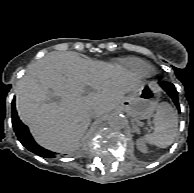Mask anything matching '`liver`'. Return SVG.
Wrapping results in <instances>:
<instances>
[{"label": "liver", "instance_id": "6515ba94", "mask_svg": "<svg viewBox=\"0 0 194 193\" xmlns=\"http://www.w3.org/2000/svg\"><path fill=\"white\" fill-rule=\"evenodd\" d=\"M141 84L119 65L53 51L19 80L16 108L39 145L68 153L78 148L95 112L101 116L120 107L125 94Z\"/></svg>", "mask_w": 194, "mask_h": 193}]
</instances>
